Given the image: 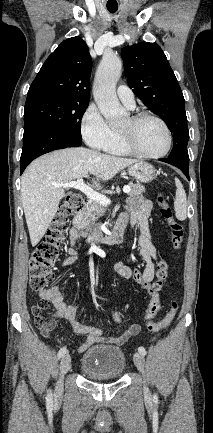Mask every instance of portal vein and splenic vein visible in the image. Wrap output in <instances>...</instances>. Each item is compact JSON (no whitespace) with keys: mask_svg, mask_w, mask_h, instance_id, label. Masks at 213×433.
<instances>
[{"mask_svg":"<svg viewBox=\"0 0 213 433\" xmlns=\"http://www.w3.org/2000/svg\"><path fill=\"white\" fill-rule=\"evenodd\" d=\"M52 185L56 187H63V188H74L82 193H84L89 199H91L94 202H97L103 206H108L111 204V200L107 198L105 195L100 194L96 191H94L91 187L86 185L82 178L77 179L76 181L66 182V183H52ZM131 191V188L129 186L123 187L124 193H129Z\"/></svg>","mask_w":213,"mask_h":433,"instance_id":"portal-vein-and-splenic-vein-1","label":"portal vein and splenic vein"}]
</instances>
